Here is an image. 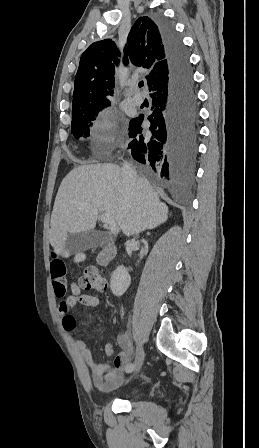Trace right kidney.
<instances>
[{"label": "right kidney", "mask_w": 259, "mask_h": 448, "mask_svg": "<svg viewBox=\"0 0 259 448\" xmlns=\"http://www.w3.org/2000/svg\"><path fill=\"white\" fill-rule=\"evenodd\" d=\"M130 282L131 278L128 270H126L124 266H118V268L114 270L110 280L112 294H114V296H123L127 288H129Z\"/></svg>", "instance_id": "1"}]
</instances>
